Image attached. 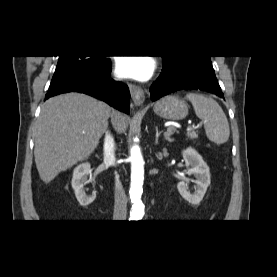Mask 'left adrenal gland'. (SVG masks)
Masks as SVG:
<instances>
[{
	"instance_id": "a2214340",
	"label": "left adrenal gland",
	"mask_w": 277,
	"mask_h": 277,
	"mask_svg": "<svg viewBox=\"0 0 277 277\" xmlns=\"http://www.w3.org/2000/svg\"><path fill=\"white\" fill-rule=\"evenodd\" d=\"M162 132H158V128L156 127V138H155V144H158V139H159V136ZM166 139H169L168 137H166Z\"/></svg>"
}]
</instances>
